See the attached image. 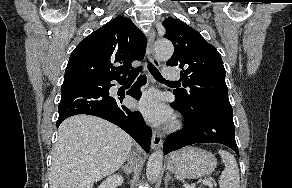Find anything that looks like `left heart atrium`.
<instances>
[{
  "instance_id": "obj_1",
  "label": "left heart atrium",
  "mask_w": 292,
  "mask_h": 188,
  "mask_svg": "<svg viewBox=\"0 0 292 188\" xmlns=\"http://www.w3.org/2000/svg\"><path fill=\"white\" fill-rule=\"evenodd\" d=\"M137 107L152 124H163L171 118V111L160 102L159 95L155 92L146 93Z\"/></svg>"
}]
</instances>
